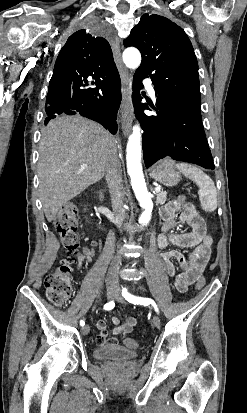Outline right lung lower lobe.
<instances>
[{"instance_id": "obj_1", "label": "right lung lower lobe", "mask_w": 247, "mask_h": 413, "mask_svg": "<svg viewBox=\"0 0 247 413\" xmlns=\"http://www.w3.org/2000/svg\"><path fill=\"white\" fill-rule=\"evenodd\" d=\"M96 88H86V75L62 73L52 76L49 87L66 89L62 98H46L45 124L57 115H80L102 124L110 133L117 132V111L121 103V81L119 73L92 76ZM99 89L102 91L99 93Z\"/></svg>"}]
</instances>
